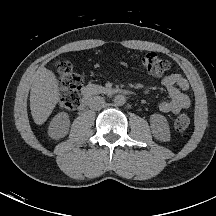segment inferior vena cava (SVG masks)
<instances>
[{"mask_svg": "<svg viewBox=\"0 0 216 216\" xmlns=\"http://www.w3.org/2000/svg\"><path fill=\"white\" fill-rule=\"evenodd\" d=\"M88 105L93 110H100L105 105V100L101 96H93L89 99Z\"/></svg>", "mask_w": 216, "mask_h": 216, "instance_id": "1", "label": "inferior vena cava"}]
</instances>
